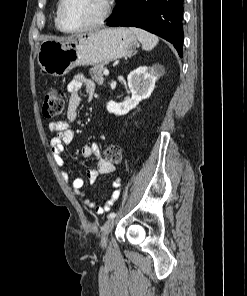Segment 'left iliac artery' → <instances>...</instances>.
Here are the masks:
<instances>
[{"label": "left iliac artery", "instance_id": "left-iliac-artery-1", "mask_svg": "<svg viewBox=\"0 0 247 296\" xmlns=\"http://www.w3.org/2000/svg\"><path fill=\"white\" fill-rule=\"evenodd\" d=\"M116 216H117V214L112 212L108 215V218H115Z\"/></svg>", "mask_w": 247, "mask_h": 296}]
</instances>
